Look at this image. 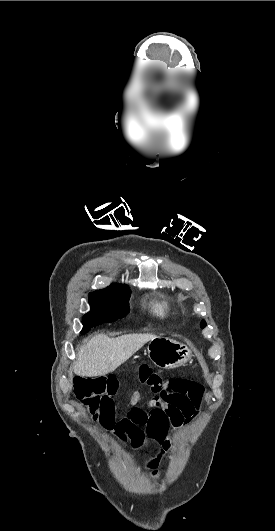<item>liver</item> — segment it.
<instances>
[{
    "instance_id": "liver-1",
    "label": "liver",
    "mask_w": 275,
    "mask_h": 531,
    "mask_svg": "<svg viewBox=\"0 0 275 531\" xmlns=\"http://www.w3.org/2000/svg\"><path fill=\"white\" fill-rule=\"evenodd\" d=\"M151 339H155V335L150 333L122 335L116 339H110L107 335H96L78 349L74 373L80 377H101L113 373Z\"/></svg>"
}]
</instances>
